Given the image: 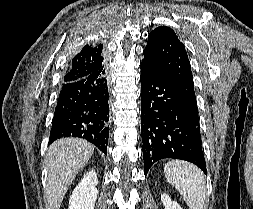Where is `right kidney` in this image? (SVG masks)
Returning <instances> with one entry per match:
<instances>
[{"label":"right kidney","instance_id":"right-kidney-1","mask_svg":"<svg viewBox=\"0 0 253 209\" xmlns=\"http://www.w3.org/2000/svg\"><path fill=\"white\" fill-rule=\"evenodd\" d=\"M97 174L89 171L76 186L69 200V209H94L98 190Z\"/></svg>","mask_w":253,"mask_h":209}]
</instances>
